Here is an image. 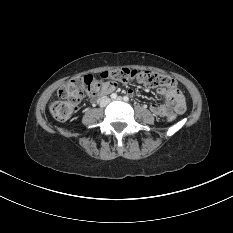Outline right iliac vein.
<instances>
[{"label": "right iliac vein", "instance_id": "obj_1", "mask_svg": "<svg viewBox=\"0 0 233 233\" xmlns=\"http://www.w3.org/2000/svg\"><path fill=\"white\" fill-rule=\"evenodd\" d=\"M109 103V99H105L104 101H103V104L104 105H106V104H108Z\"/></svg>", "mask_w": 233, "mask_h": 233}]
</instances>
